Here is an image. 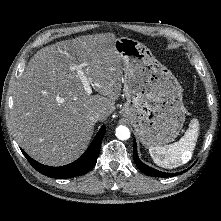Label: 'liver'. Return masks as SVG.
I'll return each instance as SVG.
<instances>
[{
    "mask_svg": "<svg viewBox=\"0 0 221 221\" xmlns=\"http://www.w3.org/2000/svg\"><path fill=\"white\" fill-rule=\"evenodd\" d=\"M115 39L101 33L63 40L40 49L29 61L14 93L12 129L36 161L50 166L73 162L93 135L89 114L99 111L104 121L113 111L123 83ZM75 65H82L97 95L85 92Z\"/></svg>",
    "mask_w": 221,
    "mask_h": 221,
    "instance_id": "liver-1",
    "label": "liver"
}]
</instances>
